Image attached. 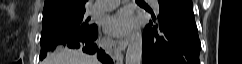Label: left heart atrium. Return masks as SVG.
Here are the masks:
<instances>
[{"mask_svg": "<svg viewBox=\"0 0 242 64\" xmlns=\"http://www.w3.org/2000/svg\"><path fill=\"white\" fill-rule=\"evenodd\" d=\"M131 27V15L127 10H121L107 18L105 31L111 36H122Z\"/></svg>", "mask_w": 242, "mask_h": 64, "instance_id": "39dd6f15", "label": "left heart atrium"}]
</instances>
